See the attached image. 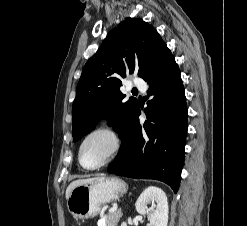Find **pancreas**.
Returning a JSON list of instances; mask_svg holds the SVG:
<instances>
[{
  "label": "pancreas",
  "mask_w": 247,
  "mask_h": 226,
  "mask_svg": "<svg viewBox=\"0 0 247 226\" xmlns=\"http://www.w3.org/2000/svg\"><path fill=\"white\" fill-rule=\"evenodd\" d=\"M119 213L118 212H113V213H110L107 217V224L109 226V224L111 223H115V222H118L119 220Z\"/></svg>",
  "instance_id": "cf45deb5"
}]
</instances>
